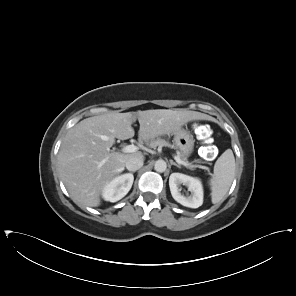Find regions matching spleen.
I'll use <instances>...</instances> for the list:
<instances>
[{"mask_svg": "<svg viewBox=\"0 0 296 296\" xmlns=\"http://www.w3.org/2000/svg\"><path fill=\"white\" fill-rule=\"evenodd\" d=\"M235 174V158L231 149H227L216 161L214 173L210 179L211 201L220 202L228 192Z\"/></svg>", "mask_w": 296, "mask_h": 296, "instance_id": "1", "label": "spleen"}]
</instances>
